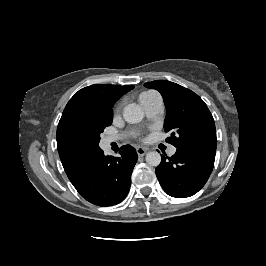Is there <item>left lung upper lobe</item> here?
<instances>
[{
    "label": "left lung upper lobe",
    "mask_w": 266,
    "mask_h": 266,
    "mask_svg": "<svg viewBox=\"0 0 266 266\" xmlns=\"http://www.w3.org/2000/svg\"><path fill=\"white\" fill-rule=\"evenodd\" d=\"M158 90L165 103L166 141L176 148H216V128L205 102L193 91L167 80L144 84Z\"/></svg>",
    "instance_id": "5c2ea615"
}]
</instances>
